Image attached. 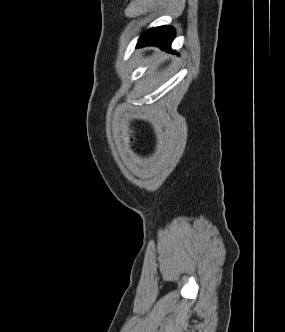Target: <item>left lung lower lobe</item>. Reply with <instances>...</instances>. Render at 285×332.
<instances>
[{
  "mask_svg": "<svg viewBox=\"0 0 285 332\" xmlns=\"http://www.w3.org/2000/svg\"><path fill=\"white\" fill-rule=\"evenodd\" d=\"M175 32L172 27L162 26L147 30L139 39L137 47L155 45L166 51H170V45L174 39Z\"/></svg>",
  "mask_w": 285,
  "mask_h": 332,
  "instance_id": "obj_1",
  "label": "left lung lower lobe"
}]
</instances>
